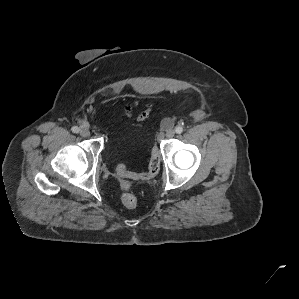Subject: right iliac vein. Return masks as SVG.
Here are the masks:
<instances>
[{
	"label": "right iliac vein",
	"mask_w": 299,
	"mask_h": 299,
	"mask_svg": "<svg viewBox=\"0 0 299 299\" xmlns=\"http://www.w3.org/2000/svg\"><path fill=\"white\" fill-rule=\"evenodd\" d=\"M80 135L83 137H88L90 135V132L88 129H81L80 130Z\"/></svg>",
	"instance_id": "right-iliac-vein-1"
}]
</instances>
